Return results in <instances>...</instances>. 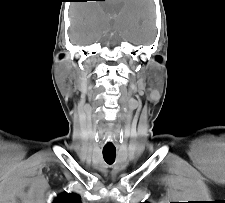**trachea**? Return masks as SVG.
Listing matches in <instances>:
<instances>
[{"label": "trachea", "mask_w": 225, "mask_h": 203, "mask_svg": "<svg viewBox=\"0 0 225 203\" xmlns=\"http://www.w3.org/2000/svg\"><path fill=\"white\" fill-rule=\"evenodd\" d=\"M116 157V150H103V158L108 164H113Z\"/></svg>", "instance_id": "trachea-1"}]
</instances>
